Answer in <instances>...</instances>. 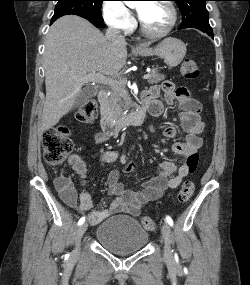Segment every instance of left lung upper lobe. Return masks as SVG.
<instances>
[{
	"mask_svg": "<svg viewBox=\"0 0 250 285\" xmlns=\"http://www.w3.org/2000/svg\"><path fill=\"white\" fill-rule=\"evenodd\" d=\"M177 3L183 17L179 29L196 28L212 30L209 25V14L205 2L207 0H173Z\"/></svg>",
	"mask_w": 250,
	"mask_h": 285,
	"instance_id": "1",
	"label": "left lung upper lobe"
}]
</instances>
